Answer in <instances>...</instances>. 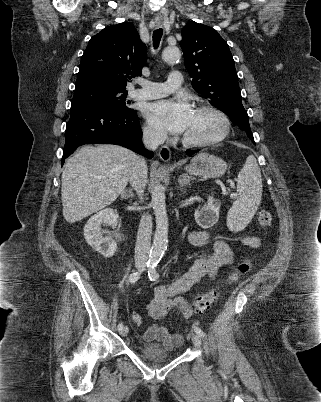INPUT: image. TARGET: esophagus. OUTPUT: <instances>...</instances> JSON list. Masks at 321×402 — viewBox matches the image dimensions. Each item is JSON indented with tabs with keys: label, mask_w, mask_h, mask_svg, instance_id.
I'll return each instance as SVG.
<instances>
[{
	"label": "esophagus",
	"mask_w": 321,
	"mask_h": 402,
	"mask_svg": "<svg viewBox=\"0 0 321 402\" xmlns=\"http://www.w3.org/2000/svg\"><path fill=\"white\" fill-rule=\"evenodd\" d=\"M156 24H157L158 26H160V25H161V21H160V20H157V21H156ZM159 156H160V158H161L162 161L168 162V161L171 159V151H170V149H169L167 146H161V147L159 148Z\"/></svg>",
	"instance_id": "34e87169"
}]
</instances>
